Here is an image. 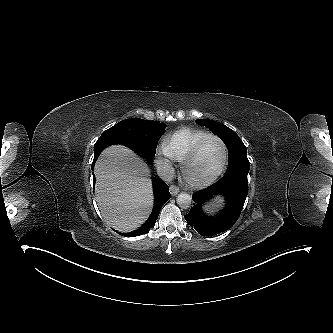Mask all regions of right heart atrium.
I'll list each match as a JSON object with an SVG mask.
<instances>
[{
    "instance_id": "obj_1",
    "label": "right heart atrium",
    "mask_w": 333,
    "mask_h": 333,
    "mask_svg": "<svg viewBox=\"0 0 333 333\" xmlns=\"http://www.w3.org/2000/svg\"><path fill=\"white\" fill-rule=\"evenodd\" d=\"M171 157L164 145L160 146L156 154V163L161 169L169 168L171 164Z\"/></svg>"
}]
</instances>
